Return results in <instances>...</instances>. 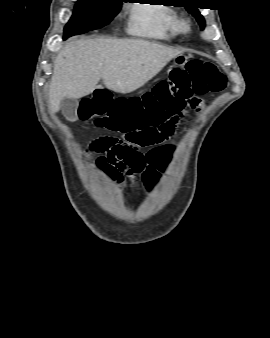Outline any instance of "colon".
I'll list each match as a JSON object with an SVG mask.
<instances>
[{
  "mask_svg": "<svg viewBox=\"0 0 270 338\" xmlns=\"http://www.w3.org/2000/svg\"><path fill=\"white\" fill-rule=\"evenodd\" d=\"M227 85V79L215 64L192 59L185 69L173 70L169 79L159 82L142 98H112L107 91L85 98L78 112L82 122H92L117 131L124 140L138 147H152L174 134V126L189 110L201 105L200 96L216 93ZM157 150L149 153L156 160ZM145 169L142 154L132 148L125 161L114 170L113 179L121 174H141Z\"/></svg>",
  "mask_w": 270,
  "mask_h": 338,
  "instance_id": "colon-1",
  "label": "colon"
}]
</instances>
